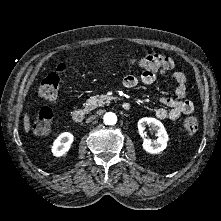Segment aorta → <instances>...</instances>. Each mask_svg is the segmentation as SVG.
<instances>
[{
    "label": "aorta",
    "instance_id": "762f6f07",
    "mask_svg": "<svg viewBox=\"0 0 221 221\" xmlns=\"http://www.w3.org/2000/svg\"><path fill=\"white\" fill-rule=\"evenodd\" d=\"M104 123L106 125H115L117 123V116L113 112H107L104 115Z\"/></svg>",
    "mask_w": 221,
    "mask_h": 221
}]
</instances>
